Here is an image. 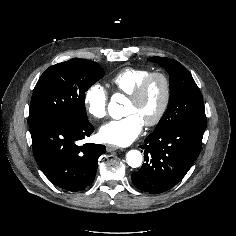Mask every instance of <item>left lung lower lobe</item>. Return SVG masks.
Wrapping results in <instances>:
<instances>
[{
  "instance_id": "1",
  "label": "left lung lower lobe",
  "mask_w": 236,
  "mask_h": 236,
  "mask_svg": "<svg viewBox=\"0 0 236 236\" xmlns=\"http://www.w3.org/2000/svg\"><path fill=\"white\" fill-rule=\"evenodd\" d=\"M204 131L205 128L175 126L152 132L140 146L145 163L132 174L133 184L151 194L174 187L199 156Z\"/></svg>"
}]
</instances>
